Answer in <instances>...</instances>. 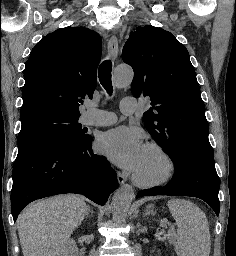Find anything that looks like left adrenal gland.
Segmentation results:
<instances>
[{
	"label": "left adrenal gland",
	"instance_id": "left-adrenal-gland-1",
	"mask_svg": "<svg viewBox=\"0 0 236 256\" xmlns=\"http://www.w3.org/2000/svg\"><path fill=\"white\" fill-rule=\"evenodd\" d=\"M153 208L154 206H152V204H149V206H147L146 210H145V214L143 216V218H145V216H154L155 212H153Z\"/></svg>",
	"mask_w": 236,
	"mask_h": 256
}]
</instances>
